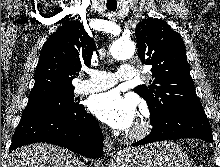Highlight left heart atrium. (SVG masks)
I'll return each mask as SVG.
<instances>
[{
    "label": "left heart atrium",
    "mask_w": 220,
    "mask_h": 167,
    "mask_svg": "<svg viewBox=\"0 0 220 167\" xmlns=\"http://www.w3.org/2000/svg\"><path fill=\"white\" fill-rule=\"evenodd\" d=\"M137 104L131 96H123L116 90L94 96L89 103L90 111L112 128H130L137 116Z\"/></svg>",
    "instance_id": "obj_1"
}]
</instances>
